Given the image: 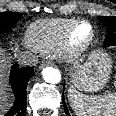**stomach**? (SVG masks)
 <instances>
[{"label":"stomach","mask_w":116,"mask_h":116,"mask_svg":"<svg viewBox=\"0 0 116 116\" xmlns=\"http://www.w3.org/2000/svg\"><path fill=\"white\" fill-rule=\"evenodd\" d=\"M112 62L107 53L93 51L72 74V86L86 92L102 89L110 78Z\"/></svg>","instance_id":"0dacf381"}]
</instances>
